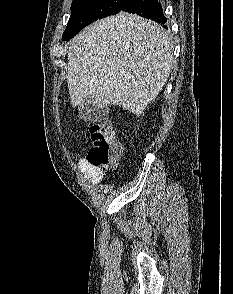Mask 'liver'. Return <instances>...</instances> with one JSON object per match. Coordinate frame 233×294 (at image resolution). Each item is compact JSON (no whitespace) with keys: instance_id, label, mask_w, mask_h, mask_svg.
I'll use <instances>...</instances> for the list:
<instances>
[{"instance_id":"liver-1","label":"liver","mask_w":233,"mask_h":294,"mask_svg":"<svg viewBox=\"0 0 233 294\" xmlns=\"http://www.w3.org/2000/svg\"><path fill=\"white\" fill-rule=\"evenodd\" d=\"M67 57L73 107L90 95L98 107L116 104L136 116L161 91L175 63L165 30L125 12L80 32Z\"/></svg>"}]
</instances>
